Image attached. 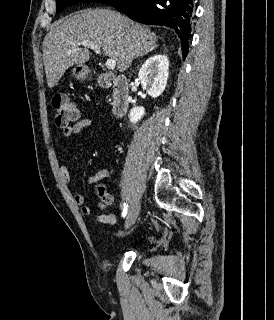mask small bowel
Here are the masks:
<instances>
[{
    "instance_id": "c3829d8e",
    "label": "small bowel",
    "mask_w": 274,
    "mask_h": 320,
    "mask_svg": "<svg viewBox=\"0 0 274 320\" xmlns=\"http://www.w3.org/2000/svg\"><path fill=\"white\" fill-rule=\"evenodd\" d=\"M92 125V120L90 118H82L76 121L73 125H70L66 129H64V137L69 139L77 134H79L84 129L90 127ZM59 172L64 184L69 185L71 178L69 169L66 164L61 163L59 166ZM110 169L108 167H104L97 171L95 174L90 175L86 178L85 182L88 185L96 184L101 182L102 180L106 179L110 176ZM74 203L77 206L81 207V212L85 216H90L93 213L92 206L85 203V197L81 193H77L73 197ZM105 207V204L99 202L97 204V208L102 209ZM98 221L107 225H112L115 223V216L112 214H100L97 217Z\"/></svg>"
}]
</instances>
